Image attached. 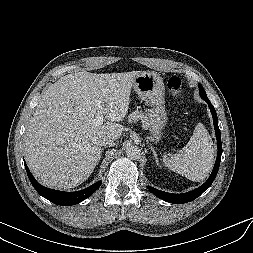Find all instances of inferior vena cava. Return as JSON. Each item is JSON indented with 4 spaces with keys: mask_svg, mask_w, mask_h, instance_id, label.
I'll use <instances>...</instances> for the list:
<instances>
[{
    "mask_svg": "<svg viewBox=\"0 0 253 253\" xmlns=\"http://www.w3.org/2000/svg\"><path fill=\"white\" fill-rule=\"evenodd\" d=\"M101 146H106V145H114V140L110 137H104L102 138V140L100 141Z\"/></svg>",
    "mask_w": 253,
    "mask_h": 253,
    "instance_id": "1",
    "label": "inferior vena cava"
}]
</instances>
